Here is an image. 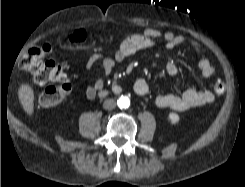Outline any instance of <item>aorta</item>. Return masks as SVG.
Returning a JSON list of instances; mask_svg holds the SVG:
<instances>
[{
    "mask_svg": "<svg viewBox=\"0 0 245 187\" xmlns=\"http://www.w3.org/2000/svg\"><path fill=\"white\" fill-rule=\"evenodd\" d=\"M117 104H118L119 108L126 109L130 106V100L127 96H121L117 100Z\"/></svg>",
    "mask_w": 245,
    "mask_h": 187,
    "instance_id": "aorta-1",
    "label": "aorta"
}]
</instances>
